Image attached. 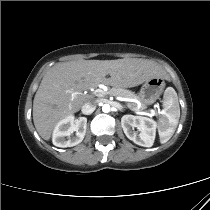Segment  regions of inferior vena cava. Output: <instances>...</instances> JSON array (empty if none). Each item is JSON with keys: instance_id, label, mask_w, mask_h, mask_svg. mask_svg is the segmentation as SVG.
I'll use <instances>...</instances> for the list:
<instances>
[{"instance_id": "inferior-vena-cava-1", "label": "inferior vena cava", "mask_w": 210, "mask_h": 210, "mask_svg": "<svg viewBox=\"0 0 210 210\" xmlns=\"http://www.w3.org/2000/svg\"><path fill=\"white\" fill-rule=\"evenodd\" d=\"M97 102L94 100H89L82 106V113L85 115H90L96 109Z\"/></svg>"}]
</instances>
